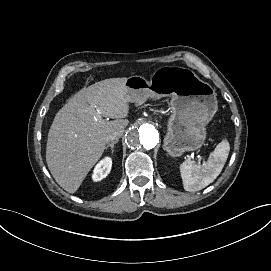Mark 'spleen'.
<instances>
[{
	"mask_svg": "<svg viewBox=\"0 0 271 271\" xmlns=\"http://www.w3.org/2000/svg\"><path fill=\"white\" fill-rule=\"evenodd\" d=\"M230 151L229 143L224 140L217 144L213 152L203 164L185 161L179 165L184 189L193 191V187H205L220 174Z\"/></svg>",
	"mask_w": 271,
	"mask_h": 271,
	"instance_id": "spleen-1",
	"label": "spleen"
}]
</instances>
